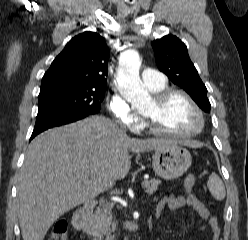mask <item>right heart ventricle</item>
<instances>
[{
	"label": "right heart ventricle",
	"mask_w": 248,
	"mask_h": 240,
	"mask_svg": "<svg viewBox=\"0 0 248 240\" xmlns=\"http://www.w3.org/2000/svg\"><path fill=\"white\" fill-rule=\"evenodd\" d=\"M165 87H166V84H164V85H162V86H158V87H153V88H150V87H149V89H150L151 91H153V92H158V91L164 89Z\"/></svg>",
	"instance_id": "1"
}]
</instances>
